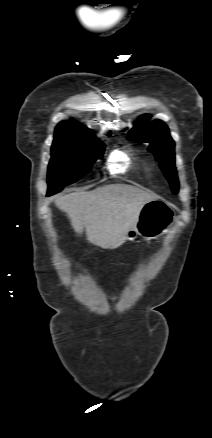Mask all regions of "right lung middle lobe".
Wrapping results in <instances>:
<instances>
[{
    "label": "right lung middle lobe",
    "instance_id": "right-lung-middle-lobe-1",
    "mask_svg": "<svg viewBox=\"0 0 212 438\" xmlns=\"http://www.w3.org/2000/svg\"><path fill=\"white\" fill-rule=\"evenodd\" d=\"M105 144L97 138H54L48 166V191L55 194L78 181L104 154Z\"/></svg>",
    "mask_w": 212,
    "mask_h": 438
}]
</instances>
